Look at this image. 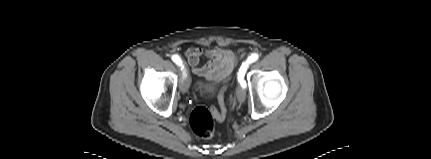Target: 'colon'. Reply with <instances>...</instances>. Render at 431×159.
I'll return each mask as SVG.
<instances>
[{"label":"colon","mask_w":431,"mask_h":159,"mask_svg":"<svg viewBox=\"0 0 431 159\" xmlns=\"http://www.w3.org/2000/svg\"><path fill=\"white\" fill-rule=\"evenodd\" d=\"M193 84L196 85L197 89H202V80L201 79H193ZM224 93L225 90H222L219 94V102L221 109L218 111L214 105H211L210 108L204 106L196 107L190 115L189 124L193 131V133L202 139H207L212 137L215 131L216 122L219 120L223 124L226 117V107L224 105Z\"/></svg>","instance_id":"colon-1"}]
</instances>
